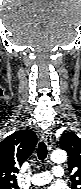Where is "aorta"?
I'll return each mask as SVG.
<instances>
[{
    "label": "aorta",
    "mask_w": 81,
    "mask_h": 189,
    "mask_svg": "<svg viewBox=\"0 0 81 189\" xmlns=\"http://www.w3.org/2000/svg\"><path fill=\"white\" fill-rule=\"evenodd\" d=\"M67 159V154L64 150H55L51 154V161L60 164L65 162Z\"/></svg>",
    "instance_id": "762f6f07"
}]
</instances>
